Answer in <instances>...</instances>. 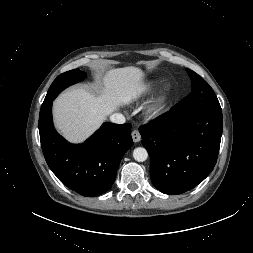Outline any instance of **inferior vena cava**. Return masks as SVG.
Returning a JSON list of instances; mask_svg holds the SVG:
<instances>
[{
  "label": "inferior vena cava",
  "instance_id": "602c4592",
  "mask_svg": "<svg viewBox=\"0 0 253 253\" xmlns=\"http://www.w3.org/2000/svg\"><path fill=\"white\" fill-rule=\"evenodd\" d=\"M110 121L116 124H123L125 123V117L120 113H114L110 116Z\"/></svg>",
  "mask_w": 253,
  "mask_h": 253
}]
</instances>
